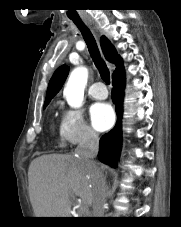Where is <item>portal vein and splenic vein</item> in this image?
<instances>
[{
  "label": "portal vein and splenic vein",
  "instance_id": "portal-vein-and-splenic-vein-1",
  "mask_svg": "<svg viewBox=\"0 0 181 227\" xmlns=\"http://www.w3.org/2000/svg\"><path fill=\"white\" fill-rule=\"evenodd\" d=\"M81 209L84 210L85 209V206H81Z\"/></svg>",
  "mask_w": 181,
  "mask_h": 227
}]
</instances>
